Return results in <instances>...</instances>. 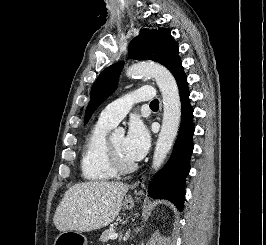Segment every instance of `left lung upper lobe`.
<instances>
[{
    "mask_svg": "<svg viewBox=\"0 0 266 245\" xmlns=\"http://www.w3.org/2000/svg\"><path fill=\"white\" fill-rule=\"evenodd\" d=\"M179 48L170 34V29H141L139 35L129 45V56L134 59H148L164 65L169 71L180 60ZM124 63H115L104 69L91 89L89 105L85 112L86 123L96 108L117 87L118 76Z\"/></svg>",
    "mask_w": 266,
    "mask_h": 245,
    "instance_id": "obj_1",
    "label": "left lung upper lobe"
}]
</instances>
